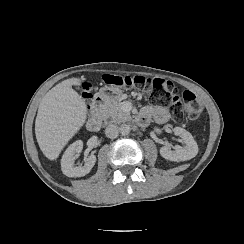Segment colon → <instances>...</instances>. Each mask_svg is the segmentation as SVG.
<instances>
[{"mask_svg": "<svg viewBox=\"0 0 244 244\" xmlns=\"http://www.w3.org/2000/svg\"><path fill=\"white\" fill-rule=\"evenodd\" d=\"M105 83L113 86H133L138 90L149 91L147 95L148 102L151 105L167 108L175 117H183L185 115L189 119H197L202 112L203 106L196 95L186 90L182 97L175 94V88L161 78L146 77V76H112L104 75ZM85 92V100H91L92 87L83 90Z\"/></svg>", "mask_w": 244, "mask_h": 244, "instance_id": "5ec220e1", "label": "colon"}]
</instances>
